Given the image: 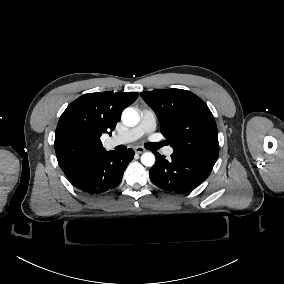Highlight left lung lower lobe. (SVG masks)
Returning <instances> with one entry per match:
<instances>
[{"instance_id":"left-lung-lower-lobe-1","label":"left lung lower lobe","mask_w":284,"mask_h":284,"mask_svg":"<svg viewBox=\"0 0 284 284\" xmlns=\"http://www.w3.org/2000/svg\"><path fill=\"white\" fill-rule=\"evenodd\" d=\"M157 161L149 170L151 181L169 192L187 193L201 184L212 166L201 160L173 153L171 159L155 152Z\"/></svg>"}]
</instances>
